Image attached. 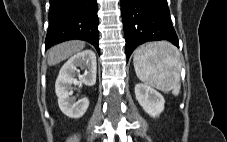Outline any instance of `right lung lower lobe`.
<instances>
[{"label":"right lung lower lobe","mask_w":227,"mask_h":142,"mask_svg":"<svg viewBox=\"0 0 227 142\" xmlns=\"http://www.w3.org/2000/svg\"><path fill=\"white\" fill-rule=\"evenodd\" d=\"M96 0H50L46 50L54 44L79 39L91 43L99 52Z\"/></svg>","instance_id":"obj_1"}]
</instances>
